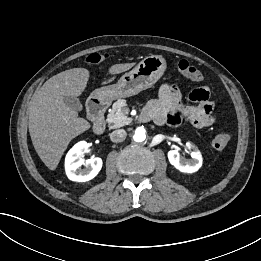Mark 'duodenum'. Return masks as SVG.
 <instances>
[{"instance_id": "obj_1", "label": "duodenum", "mask_w": 261, "mask_h": 261, "mask_svg": "<svg viewBox=\"0 0 261 261\" xmlns=\"http://www.w3.org/2000/svg\"><path fill=\"white\" fill-rule=\"evenodd\" d=\"M108 107V100L103 96L92 98L87 106L90 119L93 122V131L101 135L105 131L104 113Z\"/></svg>"}]
</instances>
